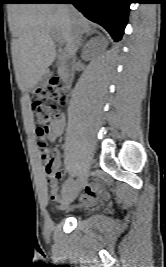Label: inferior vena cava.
Instances as JSON below:
<instances>
[{
  "label": "inferior vena cava",
  "instance_id": "inferior-vena-cava-1",
  "mask_svg": "<svg viewBox=\"0 0 166 267\" xmlns=\"http://www.w3.org/2000/svg\"><path fill=\"white\" fill-rule=\"evenodd\" d=\"M73 39H74L75 45L78 47L80 45L81 39H80L79 32L77 30L74 31Z\"/></svg>",
  "mask_w": 166,
  "mask_h": 267
}]
</instances>
